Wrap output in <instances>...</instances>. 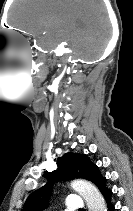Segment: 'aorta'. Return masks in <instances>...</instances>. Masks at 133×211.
Instances as JSON below:
<instances>
[{
    "mask_svg": "<svg viewBox=\"0 0 133 211\" xmlns=\"http://www.w3.org/2000/svg\"><path fill=\"white\" fill-rule=\"evenodd\" d=\"M71 187L83 197L89 211H107L103 196L93 184L78 179L71 182Z\"/></svg>",
    "mask_w": 133,
    "mask_h": 211,
    "instance_id": "obj_1",
    "label": "aorta"
}]
</instances>
